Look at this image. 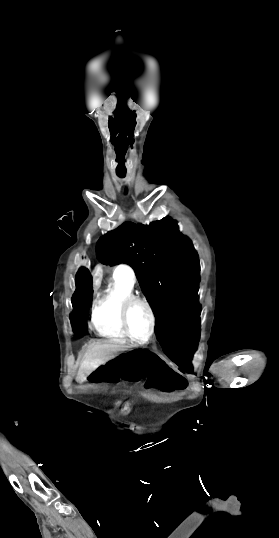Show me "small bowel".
I'll return each instance as SVG.
<instances>
[{
    "instance_id": "c3829d8e",
    "label": "small bowel",
    "mask_w": 279,
    "mask_h": 538,
    "mask_svg": "<svg viewBox=\"0 0 279 538\" xmlns=\"http://www.w3.org/2000/svg\"><path fill=\"white\" fill-rule=\"evenodd\" d=\"M148 390L163 394H171L183 391L187 387L186 380L171 369L157 370L149 374L145 380Z\"/></svg>"
}]
</instances>
